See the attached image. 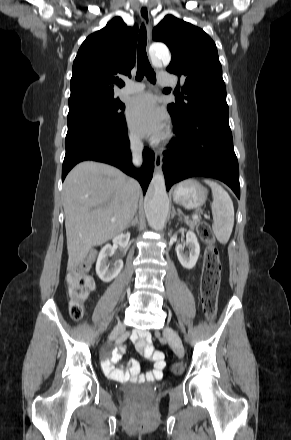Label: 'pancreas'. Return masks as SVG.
<instances>
[{
    "mask_svg": "<svg viewBox=\"0 0 291 440\" xmlns=\"http://www.w3.org/2000/svg\"><path fill=\"white\" fill-rule=\"evenodd\" d=\"M185 222L190 228L193 229L195 226L201 223V220L199 218L193 220L186 219Z\"/></svg>",
    "mask_w": 291,
    "mask_h": 440,
    "instance_id": "1",
    "label": "pancreas"
}]
</instances>
